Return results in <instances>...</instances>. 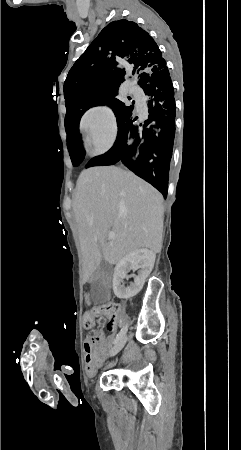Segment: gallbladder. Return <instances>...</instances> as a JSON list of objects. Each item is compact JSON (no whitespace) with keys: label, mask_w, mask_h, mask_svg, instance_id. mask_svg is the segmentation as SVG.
Wrapping results in <instances>:
<instances>
[{"label":"gallbladder","mask_w":241,"mask_h":450,"mask_svg":"<svg viewBox=\"0 0 241 450\" xmlns=\"http://www.w3.org/2000/svg\"><path fill=\"white\" fill-rule=\"evenodd\" d=\"M108 268V262H106V260H101V264L99 266V277L103 279V281L99 283V280H96V282H92L91 284V293L93 295H96V297L99 299L95 301L105 300L107 298V295L111 293V288L108 286V283L112 281V276L110 275Z\"/></svg>","instance_id":"gallbladder-1"}]
</instances>
